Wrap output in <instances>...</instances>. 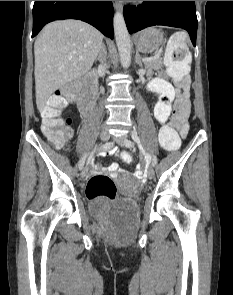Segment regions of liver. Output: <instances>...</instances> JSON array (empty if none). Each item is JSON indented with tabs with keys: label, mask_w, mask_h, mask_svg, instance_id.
Returning a JSON list of instances; mask_svg holds the SVG:
<instances>
[{
	"label": "liver",
	"mask_w": 233,
	"mask_h": 295,
	"mask_svg": "<svg viewBox=\"0 0 233 295\" xmlns=\"http://www.w3.org/2000/svg\"><path fill=\"white\" fill-rule=\"evenodd\" d=\"M103 35L80 20L47 24L34 44L36 105L40 112L61 86L87 74L102 48Z\"/></svg>",
	"instance_id": "6515ba94"
}]
</instances>
